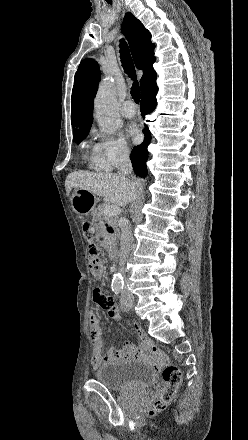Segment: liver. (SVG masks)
I'll list each match as a JSON object with an SVG mask.
<instances>
[{
  "label": "liver",
  "mask_w": 248,
  "mask_h": 440,
  "mask_svg": "<svg viewBox=\"0 0 248 440\" xmlns=\"http://www.w3.org/2000/svg\"><path fill=\"white\" fill-rule=\"evenodd\" d=\"M65 188L67 195L73 188L84 189L119 206L133 201L137 193V183L123 175L88 171L70 173L65 180Z\"/></svg>",
  "instance_id": "6515ba94"
}]
</instances>
